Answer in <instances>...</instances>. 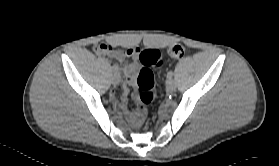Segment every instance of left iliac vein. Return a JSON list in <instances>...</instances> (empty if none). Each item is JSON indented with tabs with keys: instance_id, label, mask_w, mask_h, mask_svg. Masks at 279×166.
Here are the masks:
<instances>
[{
	"instance_id": "4c4485c4",
	"label": "left iliac vein",
	"mask_w": 279,
	"mask_h": 166,
	"mask_svg": "<svg viewBox=\"0 0 279 166\" xmlns=\"http://www.w3.org/2000/svg\"><path fill=\"white\" fill-rule=\"evenodd\" d=\"M166 89L169 91V92H173L175 91L176 89V84L174 82V80L172 78H169L166 82Z\"/></svg>"
}]
</instances>
